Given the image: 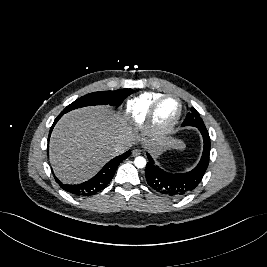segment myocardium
Here are the masks:
<instances>
[{
	"instance_id": "myocardium-1",
	"label": "myocardium",
	"mask_w": 267,
	"mask_h": 267,
	"mask_svg": "<svg viewBox=\"0 0 267 267\" xmlns=\"http://www.w3.org/2000/svg\"><path fill=\"white\" fill-rule=\"evenodd\" d=\"M167 98H175L179 104V109L174 121L167 127L160 128L155 123V117L160 104ZM182 113H183V103L180 97L173 93L163 94L152 103L148 111V114L146 116V119L144 121V130L149 136L153 138L165 137L171 134L175 130V128L177 127V125L181 120Z\"/></svg>"
}]
</instances>
